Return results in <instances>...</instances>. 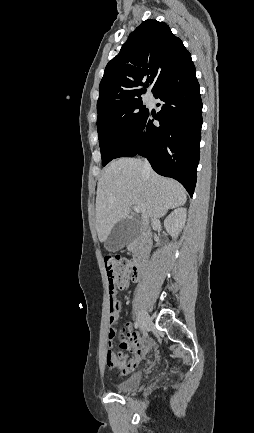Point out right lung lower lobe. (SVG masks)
Listing matches in <instances>:
<instances>
[{
  "label": "right lung lower lobe",
  "instance_id": "98d812e1",
  "mask_svg": "<svg viewBox=\"0 0 254 433\" xmlns=\"http://www.w3.org/2000/svg\"><path fill=\"white\" fill-rule=\"evenodd\" d=\"M161 103L149 111L115 158L141 155L158 174L179 181L192 197L199 163L202 101L192 59H188L153 94ZM154 119L159 125H154Z\"/></svg>",
  "mask_w": 254,
  "mask_h": 433
}]
</instances>
